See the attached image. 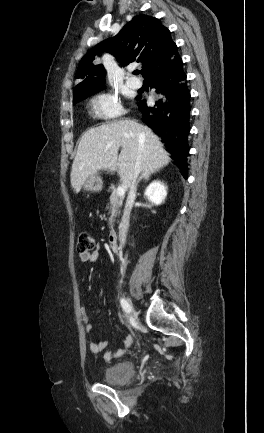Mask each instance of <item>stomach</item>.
Here are the masks:
<instances>
[{
	"label": "stomach",
	"instance_id": "obj_1",
	"mask_svg": "<svg viewBox=\"0 0 264 433\" xmlns=\"http://www.w3.org/2000/svg\"><path fill=\"white\" fill-rule=\"evenodd\" d=\"M102 187V179L97 175L88 177L83 184V189L88 192H100Z\"/></svg>",
	"mask_w": 264,
	"mask_h": 433
}]
</instances>
